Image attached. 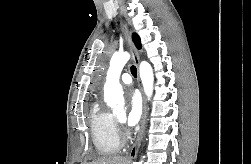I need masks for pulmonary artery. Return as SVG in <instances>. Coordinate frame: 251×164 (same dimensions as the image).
I'll return each mask as SVG.
<instances>
[{"mask_svg": "<svg viewBox=\"0 0 251 164\" xmlns=\"http://www.w3.org/2000/svg\"><path fill=\"white\" fill-rule=\"evenodd\" d=\"M121 82L123 84H131L132 83V78H131L130 74H128V73L122 74Z\"/></svg>", "mask_w": 251, "mask_h": 164, "instance_id": "e3ab8cb5", "label": "pulmonary artery"}]
</instances>
